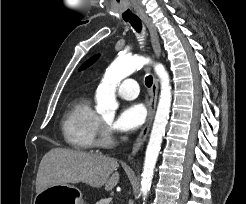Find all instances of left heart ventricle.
<instances>
[{"mask_svg": "<svg viewBox=\"0 0 246 204\" xmlns=\"http://www.w3.org/2000/svg\"><path fill=\"white\" fill-rule=\"evenodd\" d=\"M104 120L107 122V123H110L112 118L111 117H104Z\"/></svg>", "mask_w": 246, "mask_h": 204, "instance_id": "left-heart-ventricle-1", "label": "left heart ventricle"}]
</instances>
